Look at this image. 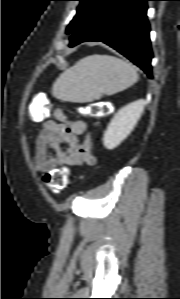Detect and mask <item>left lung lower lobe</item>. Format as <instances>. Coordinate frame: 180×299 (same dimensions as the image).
Segmentation results:
<instances>
[{"label": "left lung lower lobe", "instance_id": "left-lung-lower-lobe-1", "mask_svg": "<svg viewBox=\"0 0 180 299\" xmlns=\"http://www.w3.org/2000/svg\"><path fill=\"white\" fill-rule=\"evenodd\" d=\"M147 1L150 0H97L71 36L69 46L104 42L152 78Z\"/></svg>", "mask_w": 180, "mask_h": 299}]
</instances>
